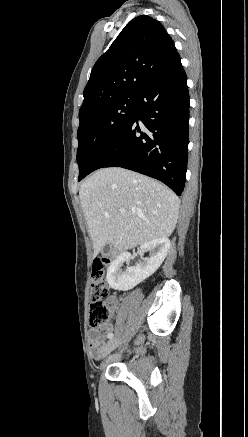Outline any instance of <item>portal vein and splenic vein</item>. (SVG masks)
Segmentation results:
<instances>
[{"mask_svg":"<svg viewBox=\"0 0 248 437\" xmlns=\"http://www.w3.org/2000/svg\"><path fill=\"white\" fill-rule=\"evenodd\" d=\"M120 213H121V214H124V213H125V210H123V209L120 210Z\"/></svg>","mask_w":248,"mask_h":437,"instance_id":"1","label":"portal vein and splenic vein"}]
</instances>
